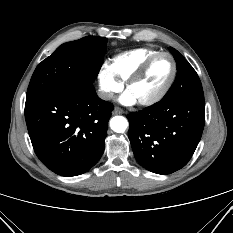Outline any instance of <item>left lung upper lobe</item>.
<instances>
[{"label":"left lung upper lobe","mask_w":233,"mask_h":233,"mask_svg":"<svg viewBox=\"0 0 233 233\" xmlns=\"http://www.w3.org/2000/svg\"><path fill=\"white\" fill-rule=\"evenodd\" d=\"M177 63L175 82L162 100L195 97L204 98L200 79L188 61L174 48L169 47Z\"/></svg>","instance_id":"1"}]
</instances>
